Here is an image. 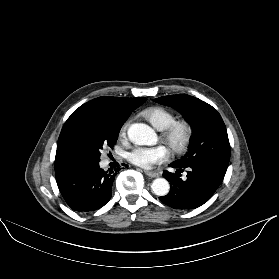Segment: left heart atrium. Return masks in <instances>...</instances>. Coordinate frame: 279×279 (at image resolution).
I'll use <instances>...</instances> for the list:
<instances>
[{
	"mask_svg": "<svg viewBox=\"0 0 279 279\" xmlns=\"http://www.w3.org/2000/svg\"><path fill=\"white\" fill-rule=\"evenodd\" d=\"M169 157V151L164 145L133 147L127 153V159L142 168L148 169L152 165L162 163Z\"/></svg>",
	"mask_w": 279,
	"mask_h": 279,
	"instance_id": "1",
	"label": "left heart atrium"
}]
</instances>
